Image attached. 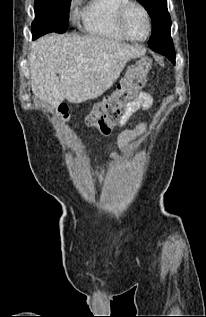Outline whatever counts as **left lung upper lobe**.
I'll return each instance as SVG.
<instances>
[{
  "mask_svg": "<svg viewBox=\"0 0 206 317\" xmlns=\"http://www.w3.org/2000/svg\"><path fill=\"white\" fill-rule=\"evenodd\" d=\"M152 18L151 43H172L170 36L171 18L166 0H138ZM173 44V43H172Z\"/></svg>",
  "mask_w": 206,
  "mask_h": 317,
  "instance_id": "5c2ea615",
  "label": "left lung upper lobe"
}]
</instances>
